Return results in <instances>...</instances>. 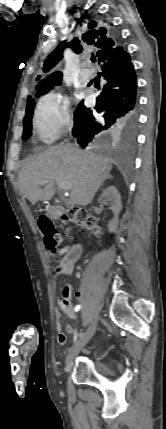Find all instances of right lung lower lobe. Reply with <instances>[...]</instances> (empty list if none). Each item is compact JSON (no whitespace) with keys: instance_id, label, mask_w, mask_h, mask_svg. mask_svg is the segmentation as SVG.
<instances>
[{"instance_id":"right-lung-lower-lobe-1","label":"right lung lower lobe","mask_w":166,"mask_h":429,"mask_svg":"<svg viewBox=\"0 0 166 429\" xmlns=\"http://www.w3.org/2000/svg\"><path fill=\"white\" fill-rule=\"evenodd\" d=\"M101 74L107 84L97 97L95 108H86L82 100L74 113L72 133L82 147L105 130L129 134L137 125V80L125 49L115 58L101 62Z\"/></svg>"}]
</instances>
